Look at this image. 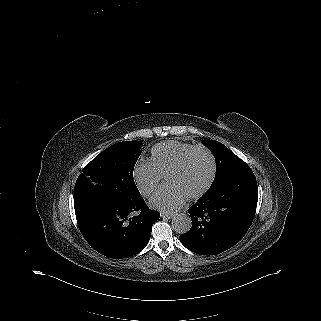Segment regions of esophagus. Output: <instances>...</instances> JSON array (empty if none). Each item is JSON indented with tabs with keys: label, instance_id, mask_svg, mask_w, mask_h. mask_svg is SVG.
Masks as SVG:
<instances>
[{
	"label": "esophagus",
	"instance_id": "esophagus-1",
	"mask_svg": "<svg viewBox=\"0 0 321 321\" xmlns=\"http://www.w3.org/2000/svg\"><path fill=\"white\" fill-rule=\"evenodd\" d=\"M161 217L164 218V219H170L173 217V214L172 213H162L161 214Z\"/></svg>",
	"mask_w": 321,
	"mask_h": 321
}]
</instances>
